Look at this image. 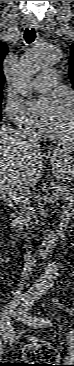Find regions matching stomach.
<instances>
[{"instance_id": "stomach-1", "label": "stomach", "mask_w": 74, "mask_h": 366, "mask_svg": "<svg viewBox=\"0 0 74 366\" xmlns=\"http://www.w3.org/2000/svg\"><path fill=\"white\" fill-rule=\"evenodd\" d=\"M53 170L57 178L71 181L74 176V158L63 152L56 151L52 158Z\"/></svg>"}]
</instances>
